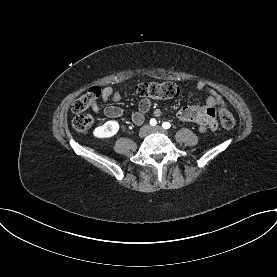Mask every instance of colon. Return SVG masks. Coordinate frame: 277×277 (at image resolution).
<instances>
[{
    "instance_id": "1",
    "label": "colon",
    "mask_w": 277,
    "mask_h": 277,
    "mask_svg": "<svg viewBox=\"0 0 277 277\" xmlns=\"http://www.w3.org/2000/svg\"><path fill=\"white\" fill-rule=\"evenodd\" d=\"M135 91L141 97L169 100L179 95L180 88L173 82L153 81L139 84ZM100 94L101 91L99 88H91L86 94L75 100L72 105V111L76 114L72 121L75 130L85 132L91 128L93 125V117L87 114L86 111L96 102ZM218 115L224 128L231 129L234 127L235 118L226 105L219 107Z\"/></svg>"
}]
</instances>
